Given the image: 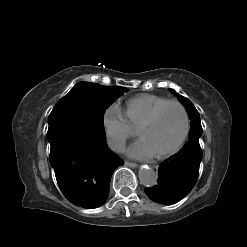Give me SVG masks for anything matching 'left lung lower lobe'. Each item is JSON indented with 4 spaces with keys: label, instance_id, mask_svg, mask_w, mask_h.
<instances>
[{
    "label": "left lung lower lobe",
    "instance_id": "left-lung-lower-lobe-1",
    "mask_svg": "<svg viewBox=\"0 0 247 247\" xmlns=\"http://www.w3.org/2000/svg\"><path fill=\"white\" fill-rule=\"evenodd\" d=\"M202 150L199 140H190L180 152L160 164L158 183L144 189L154 202L172 204L184 198L193 188L199 173Z\"/></svg>",
    "mask_w": 247,
    "mask_h": 247
}]
</instances>
